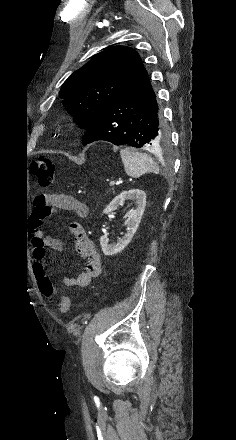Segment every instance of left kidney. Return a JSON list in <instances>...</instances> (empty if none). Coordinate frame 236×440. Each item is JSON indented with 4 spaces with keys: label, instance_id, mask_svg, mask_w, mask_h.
Returning <instances> with one entry per match:
<instances>
[{
    "label": "left kidney",
    "instance_id": "left-kidney-1",
    "mask_svg": "<svg viewBox=\"0 0 236 440\" xmlns=\"http://www.w3.org/2000/svg\"><path fill=\"white\" fill-rule=\"evenodd\" d=\"M126 200L135 201V209L127 215L125 221L126 233L122 238H119L117 243H109V239L106 236H101L100 245L104 255L112 256L121 252L132 240V237L136 233V230L141 221L144 209L146 206V193L139 189H131L129 191H123L116 196L109 205L104 209V214H109L115 211Z\"/></svg>",
    "mask_w": 236,
    "mask_h": 440
}]
</instances>
